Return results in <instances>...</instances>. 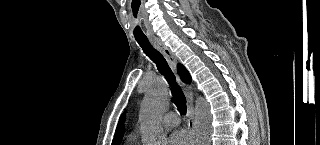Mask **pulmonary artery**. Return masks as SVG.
<instances>
[{
    "instance_id": "e3ab8cb5",
    "label": "pulmonary artery",
    "mask_w": 320,
    "mask_h": 145,
    "mask_svg": "<svg viewBox=\"0 0 320 145\" xmlns=\"http://www.w3.org/2000/svg\"><path fill=\"white\" fill-rule=\"evenodd\" d=\"M162 122L166 127L173 128L179 124L180 119L176 113L168 112L162 117Z\"/></svg>"
}]
</instances>
